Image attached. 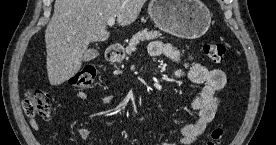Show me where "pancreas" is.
Wrapping results in <instances>:
<instances>
[{
    "instance_id": "cf45deb5",
    "label": "pancreas",
    "mask_w": 276,
    "mask_h": 145,
    "mask_svg": "<svg viewBox=\"0 0 276 145\" xmlns=\"http://www.w3.org/2000/svg\"><path fill=\"white\" fill-rule=\"evenodd\" d=\"M158 37H161V33L159 31H149L147 29L139 31L130 39L129 44L126 47V54L131 55L132 52H135L140 42L149 41ZM127 59L128 57L126 56V60Z\"/></svg>"
}]
</instances>
